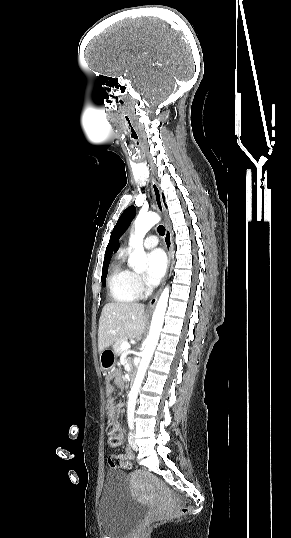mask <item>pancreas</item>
<instances>
[{"instance_id": "obj_1", "label": "pancreas", "mask_w": 291, "mask_h": 538, "mask_svg": "<svg viewBox=\"0 0 291 538\" xmlns=\"http://www.w3.org/2000/svg\"><path fill=\"white\" fill-rule=\"evenodd\" d=\"M123 342H127V339L122 338V339L118 340L117 342H115V344L113 345V349H114L116 355H118V356L123 353V350L121 349V344Z\"/></svg>"}]
</instances>
